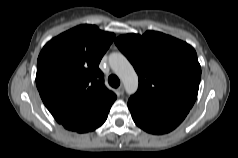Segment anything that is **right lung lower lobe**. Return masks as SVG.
I'll return each instance as SVG.
<instances>
[{
  "label": "right lung lower lobe",
  "instance_id": "right-lung-lower-lobe-1",
  "mask_svg": "<svg viewBox=\"0 0 238 158\" xmlns=\"http://www.w3.org/2000/svg\"><path fill=\"white\" fill-rule=\"evenodd\" d=\"M110 108L111 106L104 109L96 107L70 112H58L52 115L66 129L84 133L101 126L107 119Z\"/></svg>",
  "mask_w": 238,
  "mask_h": 158
}]
</instances>
